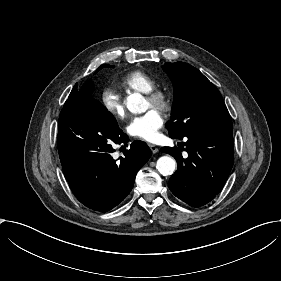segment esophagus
I'll return each mask as SVG.
<instances>
[{
    "instance_id": "obj_1",
    "label": "esophagus",
    "mask_w": 281,
    "mask_h": 281,
    "mask_svg": "<svg viewBox=\"0 0 281 281\" xmlns=\"http://www.w3.org/2000/svg\"><path fill=\"white\" fill-rule=\"evenodd\" d=\"M149 148L151 149V151L155 154L159 151V149L157 148V146L148 143Z\"/></svg>"
}]
</instances>
